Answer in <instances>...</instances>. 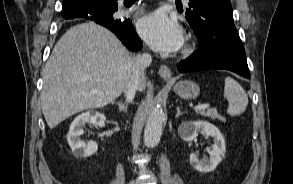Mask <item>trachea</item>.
Wrapping results in <instances>:
<instances>
[{
    "label": "trachea",
    "mask_w": 293,
    "mask_h": 184,
    "mask_svg": "<svg viewBox=\"0 0 293 184\" xmlns=\"http://www.w3.org/2000/svg\"><path fill=\"white\" fill-rule=\"evenodd\" d=\"M136 0H124L125 4H132L135 3Z\"/></svg>",
    "instance_id": "trachea-1"
}]
</instances>
